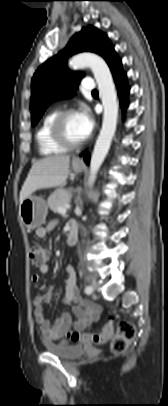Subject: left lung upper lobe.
I'll return each mask as SVG.
<instances>
[{"label": "left lung upper lobe", "instance_id": "5c2ea615", "mask_svg": "<svg viewBox=\"0 0 168 406\" xmlns=\"http://www.w3.org/2000/svg\"><path fill=\"white\" fill-rule=\"evenodd\" d=\"M83 51L97 53L107 63L116 55L107 36L95 27L83 28L81 32L73 36L66 48L44 62L32 78L31 120L33 126L40 120L49 104L75 95V90L84 75L71 72L67 68L66 61L68 56Z\"/></svg>", "mask_w": 168, "mask_h": 406}]
</instances>
